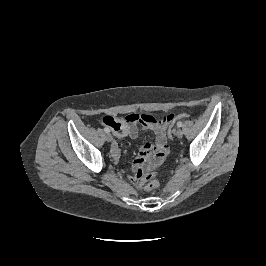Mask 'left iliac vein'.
Returning a JSON list of instances; mask_svg holds the SVG:
<instances>
[{
    "instance_id": "1",
    "label": "left iliac vein",
    "mask_w": 266,
    "mask_h": 266,
    "mask_svg": "<svg viewBox=\"0 0 266 266\" xmlns=\"http://www.w3.org/2000/svg\"><path fill=\"white\" fill-rule=\"evenodd\" d=\"M175 135L178 137V138H182L183 136V131L181 129H177L176 132H175Z\"/></svg>"
}]
</instances>
